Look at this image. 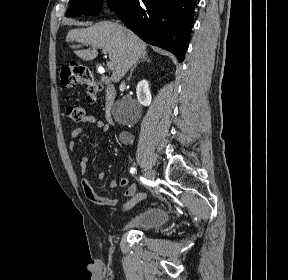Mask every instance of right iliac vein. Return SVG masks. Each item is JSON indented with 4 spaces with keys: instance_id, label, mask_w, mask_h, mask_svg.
I'll use <instances>...</instances> for the list:
<instances>
[{
    "instance_id": "63e3f726",
    "label": "right iliac vein",
    "mask_w": 288,
    "mask_h": 280,
    "mask_svg": "<svg viewBox=\"0 0 288 280\" xmlns=\"http://www.w3.org/2000/svg\"><path fill=\"white\" fill-rule=\"evenodd\" d=\"M144 176L146 177V179H148L149 181H154L155 180V173L151 170H147L144 173Z\"/></svg>"
}]
</instances>
